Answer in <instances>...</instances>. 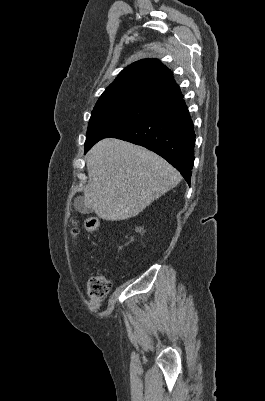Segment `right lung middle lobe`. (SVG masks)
<instances>
[{"mask_svg":"<svg viewBox=\"0 0 265 401\" xmlns=\"http://www.w3.org/2000/svg\"><path fill=\"white\" fill-rule=\"evenodd\" d=\"M163 107L146 101H127L95 106L87 129L85 152L112 132L133 124Z\"/></svg>","mask_w":265,"mask_h":401,"instance_id":"obj_1","label":"right lung middle lobe"}]
</instances>
